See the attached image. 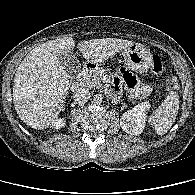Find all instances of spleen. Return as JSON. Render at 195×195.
Wrapping results in <instances>:
<instances>
[{"instance_id": "spleen-1", "label": "spleen", "mask_w": 195, "mask_h": 195, "mask_svg": "<svg viewBox=\"0 0 195 195\" xmlns=\"http://www.w3.org/2000/svg\"><path fill=\"white\" fill-rule=\"evenodd\" d=\"M179 110V95L170 91L162 104L153 111L149 122L158 135H164L175 122Z\"/></svg>"}]
</instances>
